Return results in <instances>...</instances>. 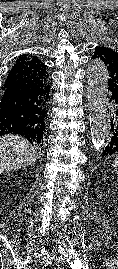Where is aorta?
Instances as JSON below:
<instances>
[{"instance_id": "obj_1", "label": "aorta", "mask_w": 118, "mask_h": 269, "mask_svg": "<svg viewBox=\"0 0 118 269\" xmlns=\"http://www.w3.org/2000/svg\"><path fill=\"white\" fill-rule=\"evenodd\" d=\"M87 78L91 139L94 148L100 150L108 132L106 113L108 74L101 60H94L89 64Z\"/></svg>"}]
</instances>
